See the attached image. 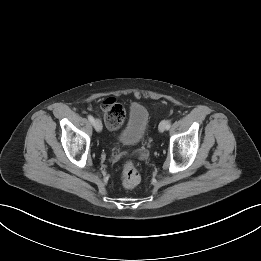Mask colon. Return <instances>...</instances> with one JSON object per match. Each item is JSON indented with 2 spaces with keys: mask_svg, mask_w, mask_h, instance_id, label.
Masks as SVG:
<instances>
[{
  "mask_svg": "<svg viewBox=\"0 0 261 261\" xmlns=\"http://www.w3.org/2000/svg\"><path fill=\"white\" fill-rule=\"evenodd\" d=\"M106 125L111 129L119 128L125 120V109L115 99L109 98L102 104ZM121 181L124 187L133 188L141 181V174L132 162H126L122 169Z\"/></svg>",
  "mask_w": 261,
  "mask_h": 261,
  "instance_id": "5ec220e1",
  "label": "colon"
}]
</instances>
